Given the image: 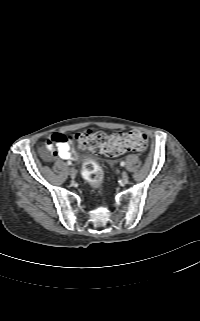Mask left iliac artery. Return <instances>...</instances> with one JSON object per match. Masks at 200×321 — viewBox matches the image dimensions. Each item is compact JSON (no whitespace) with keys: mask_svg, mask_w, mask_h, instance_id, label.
I'll list each match as a JSON object with an SVG mask.
<instances>
[{"mask_svg":"<svg viewBox=\"0 0 200 321\" xmlns=\"http://www.w3.org/2000/svg\"><path fill=\"white\" fill-rule=\"evenodd\" d=\"M120 165H121V166H125V162L122 161V162L120 163Z\"/></svg>","mask_w":200,"mask_h":321,"instance_id":"1","label":"left iliac artery"}]
</instances>
